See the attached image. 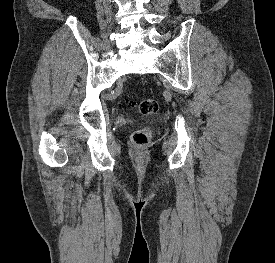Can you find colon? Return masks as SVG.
Listing matches in <instances>:
<instances>
[{
	"label": "colon",
	"mask_w": 275,
	"mask_h": 263,
	"mask_svg": "<svg viewBox=\"0 0 275 263\" xmlns=\"http://www.w3.org/2000/svg\"><path fill=\"white\" fill-rule=\"evenodd\" d=\"M130 104L133 101L128 100ZM139 111L143 115H151L157 111L158 104L156 100L147 98L140 101L138 105ZM152 140V130L150 128H141L133 132L132 142L135 146L144 147L147 146Z\"/></svg>",
	"instance_id": "5ec220e1"
}]
</instances>
